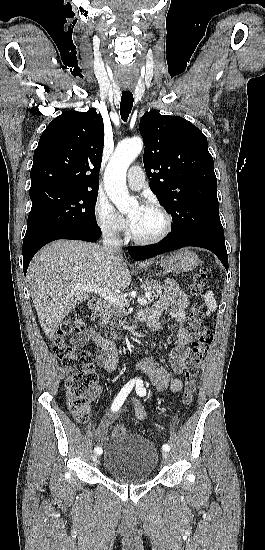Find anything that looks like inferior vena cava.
Segmentation results:
<instances>
[{"label":"inferior vena cava","mask_w":265,"mask_h":550,"mask_svg":"<svg viewBox=\"0 0 265 550\" xmlns=\"http://www.w3.org/2000/svg\"><path fill=\"white\" fill-rule=\"evenodd\" d=\"M103 245L107 256L115 259L116 254L120 253L122 240L116 235L115 230L105 228L102 230Z\"/></svg>","instance_id":"602c4592"}]
</instances>
